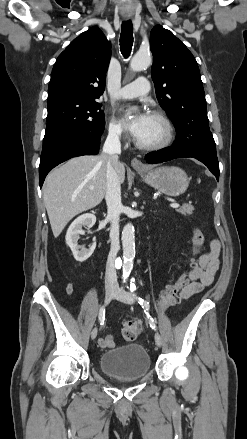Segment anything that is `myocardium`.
Wrapping results in <instances>:
<instances>
[{
	"label": "myocardium",
	"instance_id": "obj_1",
	"mask_svg": "<svg viewBox=\"0 0 247 439\" xmlns=\"http://www.w3.org/2000/svg\"><path fill=\"white\" fill-rule=\"evenodd\" d=\"M150 116H153L162 122L165 129V136L160 142L154 144H143L140 141L136 140V146L139 149L145 151H158L169 147L172 144L175 137V129L172 121L164 112L159 110L152 111L150 113Z\"/></svg>",
	"mask_w": 247,
	"mask_h": 439
}]
</instances>
